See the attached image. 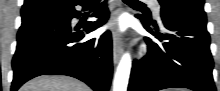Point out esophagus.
<instances>
[{
    "mask_svg": "<svg viewBox=\"0 0 220 91\" xmlns=\"http://www.w3.org/2000/svg\"><path fill=\"white\" fill-rule=\"evenodd\" d=\"M117 5L121 4V0L116 1ZM119 12V9H117V13ZM123 53V43L122 39L119 33L114 32L113 33V61L116 65L118 61L120 60Z\"/></svg>",
    "mask_w": 220,
    "mask_h": 91,
    "instance_id": "esophagus-1",
    "label": "esophagus"
}]
</instances>
